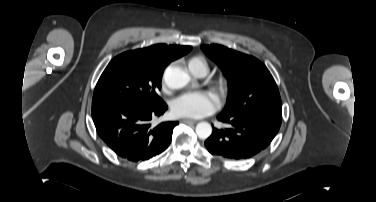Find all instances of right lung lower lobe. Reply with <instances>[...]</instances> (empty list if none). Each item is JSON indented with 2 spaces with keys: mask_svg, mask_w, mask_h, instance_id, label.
<instances>
[{
  "mask_svg": "<svg viewBox=\"0 0 376 202\" xmlns=\"http://www.w3.org/2000/svg\"><path fill=\"white\" fill-rule=\"evenodd\" d=\"M167 110L162 100L156 103L111 100L92 106L98 135L120 157L133 162L148 160L170 145L178 122L149 123Z\"/></svg>",
  "mask_w": 376,
  "mask_h": 202,
  "instance_id": "obj_1",
  "label": "right lung lower lobe"
}]
</instances>
